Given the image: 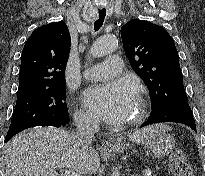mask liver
<instances>
[{"mask_svg": "<svg viewBox=\"0 0 205 176\" xmlns=\"http://www.w3.org/2000/svg\"><path fill=\"white\" fill-rule=\"evenodd\" d=\"M154 127L150 126L129 135L135 143L147 139ZM168 130V128H165ZM5 176H60L56 169L86 175L95 173L100 157L95 149L78 147L71 134L53 127L26 130L5 146Z\"/></svg>", "mask_w": 205, "mask_h": 176, "instance_id": "1", "label": "liver"}]
</instances>
